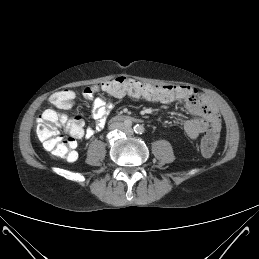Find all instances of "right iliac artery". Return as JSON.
Masks as SVG:
<instances>
[{
    "mask_svg": "<svg viewBox=\"0 0 259 259\" xmlns=\"http://www.w3.org/2000/svg\"><path fill=\"white\" fill-rule=\"evenodd\" d=\"M124 125H125L126 127H131V126H132V122H131V121H126V122L124 123Z\"/></svg>",
    "mask_w": 259,
    "mask_h": 259,
    "instance_id": "1",
    "label": "right iliac artery"
}]
</instances>
